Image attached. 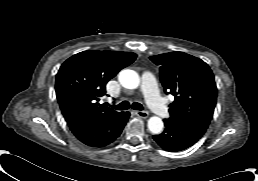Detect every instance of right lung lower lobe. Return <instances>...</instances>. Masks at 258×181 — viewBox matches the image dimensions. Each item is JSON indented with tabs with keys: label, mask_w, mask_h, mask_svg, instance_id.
I'll use <instances>...</instances> for the list:
<instances>
[{
	"label": "right lung lower lobe",
	"mask_w": 258,
	"mask_h": 181,
	"mask_svg": "<svg viewBox=\"0 0 258 181\" xmlns=\"http://www.w3.org/2000/svg\"><path fill=\"white\" fill-rule=\"evenodd\" d=\"M129 116V112H121L108 119L89 120L69 125V127L76 138L84 144L104 147L112 143L121 134Z\"/></svg>",
	"instance_id": "obj_1"
}]
</instances>
